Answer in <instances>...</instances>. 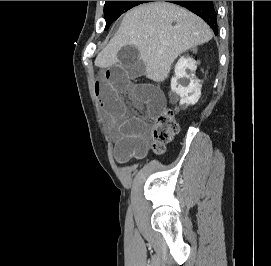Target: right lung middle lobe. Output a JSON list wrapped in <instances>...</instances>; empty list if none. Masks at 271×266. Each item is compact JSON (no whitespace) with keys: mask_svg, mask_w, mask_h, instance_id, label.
Wrapping results in <instances>:
<instances>
[{"mask_svg":"<svg viewBox=\"0 0 271 266\" xmlns=\"http://www.w3.org/2000/svg\"><path fill=\"white\" fill-rule=\"evenodd\" d=\"M151 1H106L104 6V18L106 20L105 30L109 28L113 21L127 10Z\"/></svg>","mask_w":271,"mask_h":266,"instance_id":"right-lung-middle-lobe-1","label":"right lung middle lobe"}]
</instances>
